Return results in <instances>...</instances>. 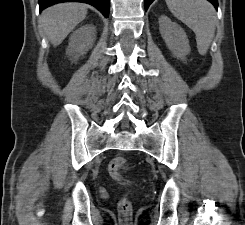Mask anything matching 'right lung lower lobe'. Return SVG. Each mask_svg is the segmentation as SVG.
I'll return each mask as SVG.
<instances>
[{
  "mask_svg": "<svg viewBox=\"0 0 245 225\" xmlns=\"http://www.w3.org/2000/svg\"><path fill=\"white\" fill-rule=\"evenodd\" d=\"M61 2H83L96 7L105 17L109 15L110 0H39L40 11Z\"/></svg>",
  "mask_w": 245,
  "mask_h": 225,
  "instance_id": "right-lung-lower-lobe-1",
  "label": "right lung lower lobe"
}]
</instances>
